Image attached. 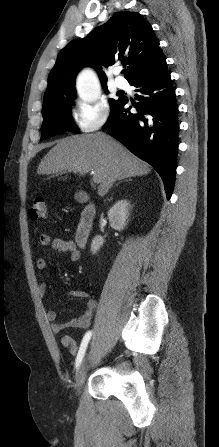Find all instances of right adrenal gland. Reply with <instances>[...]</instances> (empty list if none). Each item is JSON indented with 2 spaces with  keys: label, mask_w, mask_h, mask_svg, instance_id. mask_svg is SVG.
I'll return each mask as SVG.
<instances>
[{
  "label": "right adrenal gland",
  "mask_w": 219,
  "mask_h": 447,
  "mask_svg": "<svg viewBox=\"0 0 219 447\" xmlns=\"http://www.w3.org/2000/svg\"><path fill=\"white\" fill-rule=\"evenodd\" d=\"M125 181H131V179H128V180H125ZM121 182H122V181H121ZM119 183H120V182H119ZM119 183H117L116 186H117Z\"/></svg>",
  "instance_id": "2a0ac1e0"
}]
</instances>
